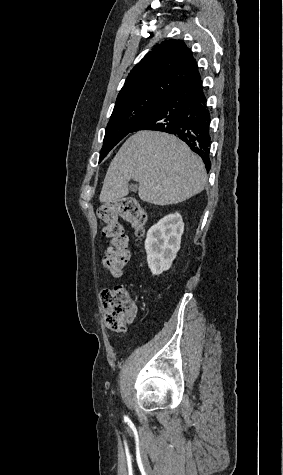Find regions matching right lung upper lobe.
I'll return each instance as SVG.
<instances>
[{"label":"right lung upper lobe","instance_id":"right-lung-upper-lobe-1","mask_svg":"<svg viewBox=\"0 0 283 475\" xmlns=\"http://www.w3.org/2000/svg\"><path fill=\"white\" fill-rule=\"evenodd\" d=\"M197 78L200 75L196 60L185 43L163 41L133 67L116 102L159 89L174 90Z\"/></svg>","mask_w":283,"mask_h":475}]
</instances>
